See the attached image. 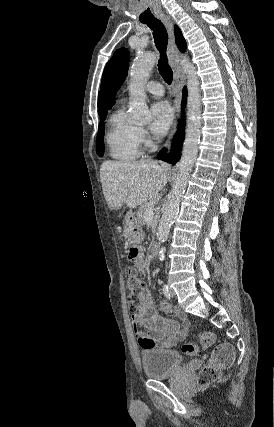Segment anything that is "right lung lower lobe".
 Listing matches in <instances>:
<instances>
[{"instance_id":"right-lung-lower-lobe-1","label":"right lung lower lobe","mask_w":274,"mask_h":427,"mask_svg":"<svg viewBox=\"0 0 274 427\" xmlns=\"http://www.w3.org/2000/svg\"><path fill=\"white\" fill-rule=\"evenodd\" d=\"M186 96H187V89L186 87H184L183 90V100H182V107L184 108L186 105ZM184 123L183 120L180 121L179 124V129L177 131V134L175 135V139L173 142V149L172 152L170 153V155H166L165 153V149H163L159 154H158V158L164 161H167L169 163L175 164L179 159H180V152L179 150L181 149V145L184 139V127H183Z\"/></svg>"}]
</instances>
